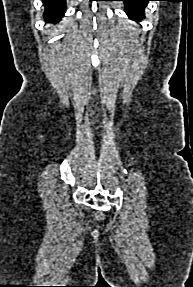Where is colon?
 I'll use <instances>...</instances> for the list:
<instances>
[{
	"instance_id": "5ec220e1",
	"label": "colon",
	"mask_w": 193,
	"mask_h": 287,
	"mask_svg": "<svg viewBox=\"0 0 193 287\" xmlns=\"http://www.w3.org/2000/svg\"><path fill=\"white\" fill-rule=\"evenodd\" d=\"M101 215H102L101 213L98 214L99 217H101Z\"/></svg>"
}]
</instances>
